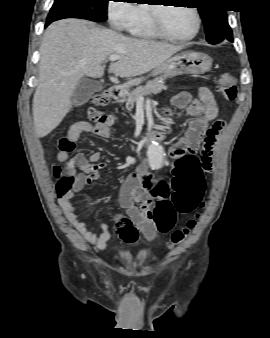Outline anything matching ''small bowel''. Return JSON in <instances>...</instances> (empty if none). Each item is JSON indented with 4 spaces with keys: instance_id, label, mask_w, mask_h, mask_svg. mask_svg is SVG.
<instances>
[{
    "instance_id": "c3829d8e",
    "label": "small bowel",
    "mask_w": 270,
    "mask_h": 338,
    "mask_svg": "<svg viewBox=\"0 0 270 338\" xmlns=\"http://www.w3.org/2000/svg\"><path fill=\"white\" fill-rule=\"evenodd\" d=\"M171 101L177 108H186L188 113L193 117L184 140L172 146L170 149L171 155L175 160L172 167V180L175 183L186 184L196 171H200L203 168L202 162L199 161L193 153V150L199 143V140L195 138L196 133L200 130H204L208 123L217 117L218 107L214 95L208 87H199L196 97H193L187 91H180L172 97ZM220 130L221 127L213 126L210 133H208L205 145L208 146L211 151L216 144ZM83 133L94 134L100 137H108L110 135V131L105 124H92L86 121H80L69 128L66 137L70 142L75 143L80 139ZM69 153L70 152L60 151L58 158L60 160H66ZM100 159V151L92 152L89 157H86L81 152L76 153L71 158L70 164L79 168L81 173L77 175L69 189L58 190L57 197L59 205L69 223L80 233L87 243L94 245L96 250L103 251L111 239L109 224L101 222V231L99 234L87 231V222L78 218L73 203V198L76 193L82 191L86 185L100 178L99 170L103 167V163L100 162ZM209 159H211V157ZM153 186H157L161 191H166L169 185L166 182L156 181L140 166H138L123 183L117 201L126 210L130 223L133 225L134 232L129 231L126 223H118L117 232L122 241L135 243L138 240L136 230H139L146 239L151 241L155 239L158 232H168L174 226L176 214L171 224L168 227H163L161 224L151 220L147 214L141 212L134 204L135 201L145 202L144 192ZM163 197L164 198L160 199V202L166 201V196ZM169 203H171V201H169Z\"/></svg>"
}]
</instances>
